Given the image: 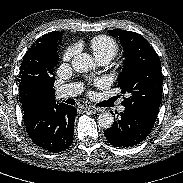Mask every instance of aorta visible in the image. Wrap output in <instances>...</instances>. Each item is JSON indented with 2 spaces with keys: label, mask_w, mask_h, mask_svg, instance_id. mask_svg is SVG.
I'll list each match as a JSON object with an SVG mask.
<instances>
[{
  "label": "aorta",
  "mask_w": 183,
  "mask_h": 183,
  "mask_svg": "<svg viewBox=\"0 0 183 183\" xmlns=\"http://www.w3.org/2000/svg\"><path fill=\"white\" fill-rule=\"evenodd\" d=\"M72 67L78 73H86L95 68L94 60L87 53H79L72 60ZM114 123V117L109 112L101 113L98 117V124L104 129L111 128Z\"/></svg>",
  "instance_id": "1"
}]
</instances>
